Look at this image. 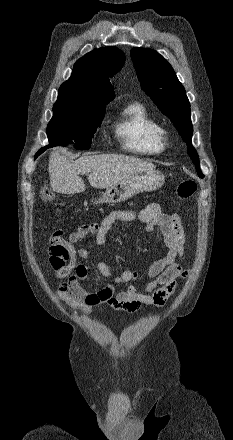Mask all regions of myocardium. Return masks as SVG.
<instances>
[{
    "instance_id": "1",
    "label": "myocardium",
    "mask_w": 233,
    "mask_h": 440,
    "mask_svg": "<svg viewBox=\"0 0 233 440\" xmlns=\"http://www.w3.org/2000/svg\"><path fill=\"white\" fill-rule=\"evenodd\" d=\"M161 141L164 145L168 144V134L165 130H163L161 133Z\"/></svg>"
}]
</instances>
